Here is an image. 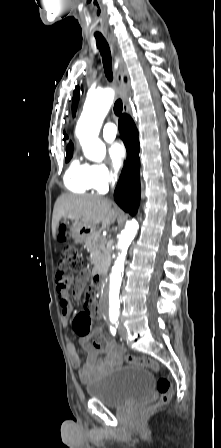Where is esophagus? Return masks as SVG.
<instances>
[{"label": "esophagus", "instance_id": "1", "mask_svg": "<svg viewBox=\"0 0 221 448\" xmlns=\"http://www.w3.org/2000/svg\"><path fill=\"white\" fill-rule=\"evenodd\" d=\"M111 49L115 52L118 59V65L116 70V80L118 82L119 86V93L121 97L123 98V111L125 113H128L130 111L129 103H128V97H129V85L124 81V77L127 74L126 65L123 61V58L121 56V53L117 47L115 38L113 36H108Z\"/></svg>", "mask_w": 221, "mask_h": 448}]
</instances>
